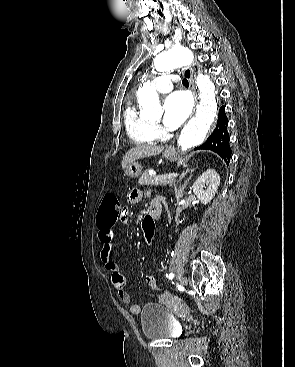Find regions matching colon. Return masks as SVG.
<instances>
[{"instance_id": "1", "label": "colon", "mask_w": 295, "mask_h": 367, "mask_svg": "<svg viewBox=\"0 0 295 367\" xmlns=\"http://www.w3.org/2000/svg\"><path fill=\"white\" fill-rule=\"evenodd\" d=\"M121 209L118 198L114 194H106L100 205L97 222L104 225L115 223L121 216ZM140 229L144 230L145 245L153 246L157 233L153 219H142Z\"/></svg>"}]
</instances>
